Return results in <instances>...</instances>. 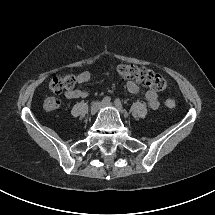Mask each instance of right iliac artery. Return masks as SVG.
Instances as JSON below:
<instances>
[{
	"mask_svg": "<svg viewBox=\"0 0 215 215\" xmlns=\"http://www.w3.org/2000/svg\"><path fill=\"white\" fill-rule=\"evenodd\" d=\"M110 100H111V98H110L109 96H106V97H104V98L102 99V103H103V104L109 103Z\"/></svg>",
	"mask_w": 215,
	"mask_h": 215,
	"instance_id": "1",
	"label": "right iliac artery"
}]
</instances>
